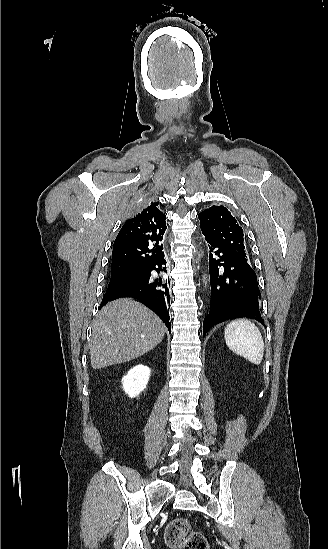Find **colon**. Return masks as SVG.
I'll list each match as a JSON object with an SVG mask.
<instances>
[{"mask_svg":"<svg viewBox=\"0 0 328 549\" xmlns=\"http://www.w3.org/2000/svg\"><path fill=\"white\" fill-rule=\"evenodd\" d=\"M165 542L173 549H208L205 536L191 530V524L186 518L172 520L165 530Z\"/></svg>","mask_w":328,"mask_h":549,"instance_id":"5ec220e1","label":"colon"}]
</instances>
